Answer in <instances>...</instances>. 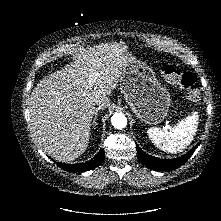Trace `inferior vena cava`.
I'll list each match as a JSON object with an SVG mask.
<instances>
[{
	"instance_id": "obj_1",
	"label": "inferior vena cava",
	"mask_w": 221,
	"mask_h": 221,
	"mask_svg": "<svg viewBox=\"0 0 221 221\" xmlns=\"http://www.w3.org/2000/svg\"><path fill=\"white\" fill-rule=\"evenodd\" d=\"M108 103H109V98L103 96H100L95 100V104L102 108L106 107Z\"/></svg>"
}]
</instances>
